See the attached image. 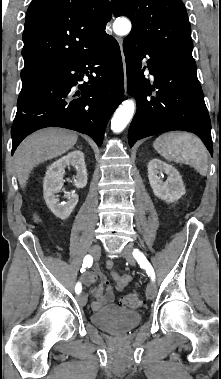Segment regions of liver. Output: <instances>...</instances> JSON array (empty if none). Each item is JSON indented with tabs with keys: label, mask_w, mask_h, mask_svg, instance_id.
<instances>
[{
	"label": "liver",
	"mask_w": 221,
	"mask_h": 379,
	"mask_svg": "<svg viewBox=\"0 0 221 379\" xmlns=\"http://www.w3.org/2000/svg\"><path fill=\"white\" fill-rule=\"evenodd\" d=\"M77 139L75 132L61 128H47L28 136L14 154L15 170L21 188H25L34 167L64 154L76 144Z\"/></svg>",
	"instance_id": "6515ba94"
}]
</instances>
